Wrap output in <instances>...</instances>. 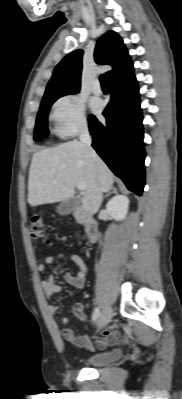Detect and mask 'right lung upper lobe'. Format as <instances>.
Instances as JSON below:
<instances>
[{
  "instance_id": "cb5924a9",
  "label": "right lung upper lobe",
  "mask_w": 182,
  "mask_h": 399,
  "mask_svg": "<svg viewBox=\"0 0 182 399\" xmlns=\"http://www.w3.org/2000/svg\"><path fill=\"white\" fill-rule=\"evenodd\" d=\"M82 50H75L65 56L55 67L52 78L47 84L43 99L77 93L80 89L82 69ZM95 61L102 65H111L108 72L110 82L124 78L133 72V63L124 47L122 39L114 31L104 34L97 42Z\"/></svg>"
}]
</instances>
